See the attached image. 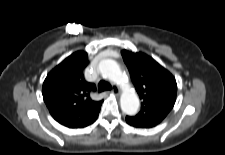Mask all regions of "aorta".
<instances>
[{"mask_svg":"<svg viewBox=\"0 0 225 155\" xmlns=\"http://www.w3.org/2000/svg\"><path fill=\"white\" fill-rule=\"evenodd\" d=\"M99 73L115 83H119L122 88L120 105L122 111L127 115H134L139 109V98L134 89L123 76L118 63L113 59H103L98 65Z\"/></svg>","mask_w":225,"mask_h":155,"instance_id":"762f6f07","label":"aorta"}]
</instances>
